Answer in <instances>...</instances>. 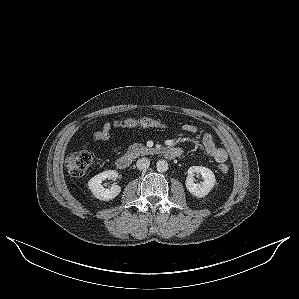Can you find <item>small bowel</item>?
I'll list each match as a JSON object with an SVG mask.
<instances>
[{"mask_svg": "<svg viewBox=\"0 0 299 299\" xmlns=\"http://www.w3.org/2000/svg\"><path fill=\"white\" fill-rule=\"evenodd\" d=\"M111 123L106 122L103 128L96 131L93 135L96 141H106L110 137ZM183 130L187 133H195L197 128L192 124L183 125ZM202 144L208 155L213 157L218 163H224L228 158V153L223 147H219L215 144L211 134L206 133L202 138Z\"/></svg>", "mask_w": 299, "mask_h": 299, "instance_id": "small-bowel-1", "label": "small bowel"}]
</instances>
